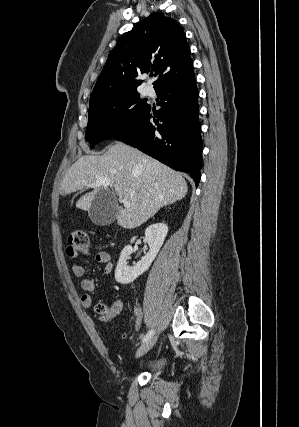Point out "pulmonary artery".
I'll use <instances>...</instances> for the list:
<instances>
[{"label":"pulmonary artery","mask_w":299,"mask_h":427,"mask_svg":"<svg viewBox=\"0 0 299 427\" xmlns=\"http://www.w3.org/2000/svg\"><path fill=\"white\" fill-rule=\"evenodd\" d=\"M147 93H148V94H150V93H151V90H150V89H148V90H147Z\"/></svg>","instance_id":"1"}]
</instances>
